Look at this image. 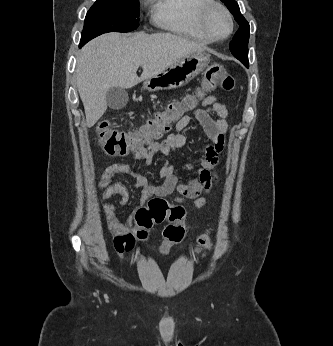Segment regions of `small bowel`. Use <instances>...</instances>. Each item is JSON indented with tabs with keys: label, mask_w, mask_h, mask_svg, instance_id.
<instances>
[{
	"label": "small bowel",
	"mask_w": 333,
	"mask_h": 346,
	"mask_svg": "<svg viewBox=\"0 0 333 346\" xmlns=\"http://www.w3.org/2000/svg\"><path fill=\"white\" fill-rule=\"evenodd\" d=\"M202 106L203 108L193 109L190 113L182 116L176 123V132L169 135L167 139L152 144L148 149L143 148L133 152L135 159L146 166L151 165L153 155L156 152H160L163 156H169L173 150L182 148L185 145L186 138L182 131L190 124L192 119H195L203 128L208 139L203 155L198 157L199 168L196 178L188 182H182L176 174V168L169 162H165L157 172V177L164 179L158 185L153 184L145 174L121 162L112 163L103 172L99 181L101 210L106 218L108 232L113 237L110 240V245L119 254H128L129 250H132V247L135 246V236L131 230L136 210L124 220L117 216L116 209L126 205L131 196L128 188L123 183H112V179L116 175L124 174L134 178L136 187L141 191V203H145L153 196L167 197L178 193L180 196L175 197L174 200L179 204L184 205L187 201L192 200L193 206L197 209L206 205V199L199 196L203 191L209 192L218 180L216 167L228 133L227 118L229 112L226 105L219 98L212 95L202 100ZM115 195L120 197L118 201L104 203Z\"/></svg>",
	"instance_id": "small-bowel-1"
}]
</instances>
